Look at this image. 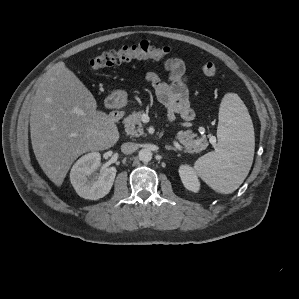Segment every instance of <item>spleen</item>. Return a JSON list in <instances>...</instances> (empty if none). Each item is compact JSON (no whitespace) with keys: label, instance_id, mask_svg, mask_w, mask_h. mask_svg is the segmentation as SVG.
I'll use <instances>...</instances> for the list:
<instances>
[{"label":"spleen","instance_id":"3e777b00","mask_svg":"<svg viewBox=\"0 0 299 299\" xmlns=\"http://www.w3.org/2000/svg\"><path fill=\"white\" fill-rule=\"evenodd\" d=\"M217 148L200 157L194 170L213 190L233 193L251 168L255 137L249 112L236 94H226L219 109Z\"/></svg>","mask_w":299,"mask_h":299}]
</instances>
